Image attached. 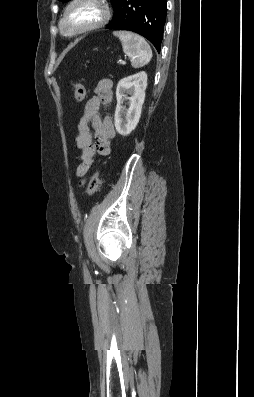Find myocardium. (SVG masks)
<instances>
[{
	"label": "myocardium",
	"instance_id": "f54148a6",
	"mask_svg": "<svg viewBox=\"0 0 254 397\" xmlns=\"http://www.w3.org/2000/svg\"><path fill=\"white\" fill-rule=\"evenodd\" d=\"M93 4L100 9V16L97 20L82 27H79L72 31H67L64 27L65 21L68 18L70 12L76 6L80 4ZM111 18V10L108 4L104 0H71L68 5L64 8L59 21H58V29L59 32L65 37H76L84 33H88L99 29L106 25Z\"/></svg>",
	"mask_w": 254,
	"mask_h": 397
}]
</instances>
